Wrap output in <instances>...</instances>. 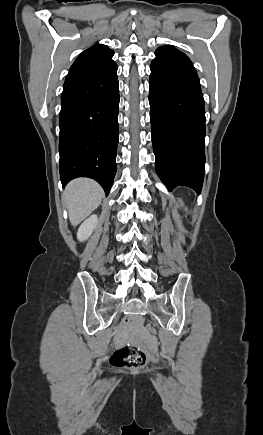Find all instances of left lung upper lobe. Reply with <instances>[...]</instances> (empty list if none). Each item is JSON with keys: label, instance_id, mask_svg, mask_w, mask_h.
I'll return each mask as SVG.
<instances>
[{"label": "left lung upper lobe", "instance_id": "left-lung-upper-lobe-1", "mask_svg": "<svg viewBox=\"0 0 263 435\" xmlns=\"http://www.w3.org/2000/svg\"><path fill=\"white\" fill-rule=\"evenodd\" d=\"M155 55V60H158L169 67L184 70L197 75L190 59L173 46L159 47L156 50Z\"/></svg>", "mask_w": 263, "mask_h": 435}]
</instances>
